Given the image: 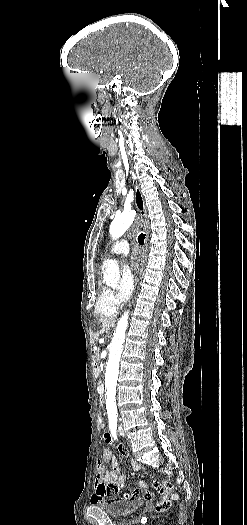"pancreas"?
<instances>
[{"mask_svg":"<svg viewBox=\"0 0 247 525\" xmlns=\"http://www.w3.org/2000/svg\"><path fill=\"white\" fill-rule=\"evenodd\" d=\"M99 349H95V352H94V355H93V358H94V361H97L98 357H99Z\"/></svg>","mask_w":247,"mask_h":525,"instance_id":"1","label":"pancreas"}]
</instances>
